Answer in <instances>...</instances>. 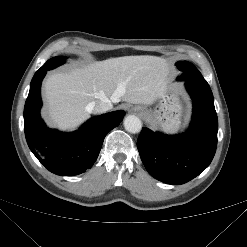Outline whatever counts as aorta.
I'll return each instance as SVG.
<instances>
[{"mask_svg":"<svg viewBox=\"0 0 247 247\" xmlns=\"http://www.w3.org/2000/svg\"><path fill=\"white\" fill-rule=\"evenodd\" d=\"M124 128L126 131L136 134L142 129L141 120L135 115H128L124 119Z\"/></svg>","mask_w":247,"mask_h":247,"instance_id":"aorta-1","label":"aorta"}]
</instances>
